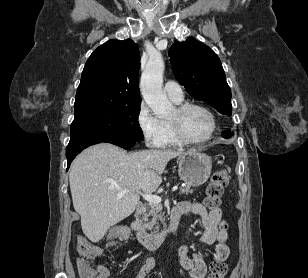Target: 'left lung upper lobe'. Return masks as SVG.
Listing matches in <instances>:
<instances>
[{
  "label": "left lung upper lobe",
  "instance_id": "obj_1",
  "mask_svg": "<svg viewBox=\"0 0 308 278\" xmlns=\"http://www.w3.org/2000/svg\"><path fill=\"white\" fill-rule=\"evenodd\" d=\"M168 54L175 77L192 97L209 103L221 114L231 115V89L213 50L190 37L175 42Z\"/></svg>",
  "mask_w": 308,
  "mask_h": 278
}]
</instances>
